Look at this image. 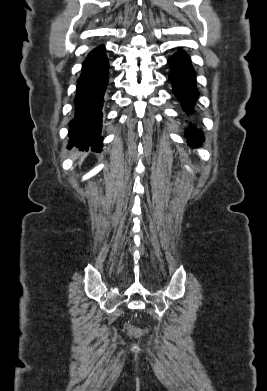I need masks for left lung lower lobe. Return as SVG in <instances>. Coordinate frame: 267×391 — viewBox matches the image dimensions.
I'll use <instances>...</instances> for the list:
<instances>
[{"label": "left lung lower lobe", "mask_w": 267, "mask_h": 391, "mask_svg": "<svg viewBox=\"0 0 267 391\" xmlns=\"http://www.w3.org/2000/svg\"><path fill=\"white\" fill-rule=\"evenodd\" d=\"M168 63L171 66L169 80L173 86V93L186 113H191L199 93L196 89L195 71L189 56L184 51H180L171 56ZM187 138L193 147H198L204 140L202 134L192 127L187 131Z\"/></svg>", "instance_id": "1"}]
</instances>
